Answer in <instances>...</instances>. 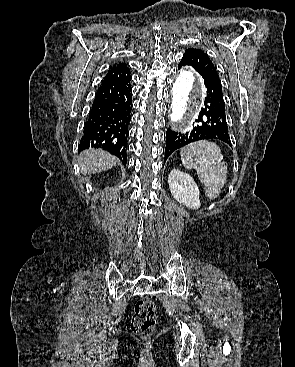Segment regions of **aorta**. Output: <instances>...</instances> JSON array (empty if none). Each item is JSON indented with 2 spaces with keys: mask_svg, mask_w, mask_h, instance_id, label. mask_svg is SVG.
<instances>
[{
  "mask_svg": "<svg viewBox=\"0 0 295 367\" xmlns=\"http://www.w3.org/2000/svg\"><path fill=\"white\" fill-rule=\"evenodd\" d=\"M201 94L195 73L189 68L181 70L172 88L171 121L175 124L185 122L200 104Z\"/></svg>",
  "mask_w": 295,
  "mask_h": 367,
  "instance_id": "obj_1",
  "label": "aorta"
}]
</instances>
